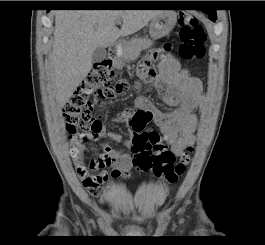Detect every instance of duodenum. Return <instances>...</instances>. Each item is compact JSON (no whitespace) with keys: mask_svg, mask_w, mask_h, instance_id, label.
<instances>
[{"mask_svg":"<svg viewBox=\"0 0 265 245\" xmlns=\"http://www.w3.org/2000/svg\"><path fill=\"white\" fill-rule=\"evenodd\" d=\"M109 55L113 59H118L122 55V42L116 41L109 47Z\"/></svg>","mask_w":265,"mask_h":245,"instance_id":"duodenum-1","label":"duodenum"}]
</instances>
